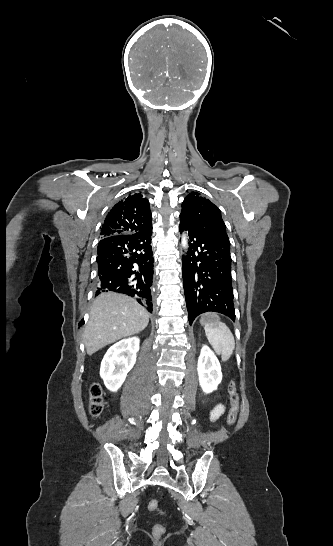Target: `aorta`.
I'll return each mask as SVG.
<instances>
[{
  "mask_svg": "<svg viewBox=\"0 0 333 546\" xmlns=\"http://www.w3.org/2000/svg\"><path fill=\"white\" fill-rule=\"evenodd\" d=\"M181 243H182L183 247H186V244H187V239H186L185 235H184V236H182V240H181Z\"/></svg>",
  "mask_w": 333,
  "mask_h": 546,
  "instance_id": "aorta-1",
  "label": "aorta"
}]
</instances>
